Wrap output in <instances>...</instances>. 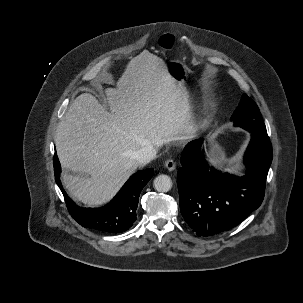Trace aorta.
Masks as SVG:
<instances>
[{
  "mask_svg": "<svg viewBox=\"0 0 303 303\" xmlns=\"http://www.w3.org/2000/svg\"><path fill=\"white\" fill-rule=\"evenodd\" d=\"M154 187L158 192H168L172 187L171 178L168 175H158L153 181Z\"/></svg>",
  "mask_w": 303,
  "mask_h": 303,
  "instance_id": "obj_1",
  "label": "aorta"
}]
</instances>
